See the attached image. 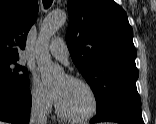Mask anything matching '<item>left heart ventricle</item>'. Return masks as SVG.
<instances>
[{"instance_id":"obj_1","label":"left heart ventricle","mask_w":156,"mask_h":124,"mask_svg":"<svg viewBox=\"0 0 156 124\" xmlns=\"http://www.w3.org/2000/svg\"><path fill=\"white\" fill-rule=\"evenodd\" d=\"M53 90L61 108L70 115L82 116L92 108L93 100L89 91L66 76L56 81Z\"/></svg>"}]
</instances>
